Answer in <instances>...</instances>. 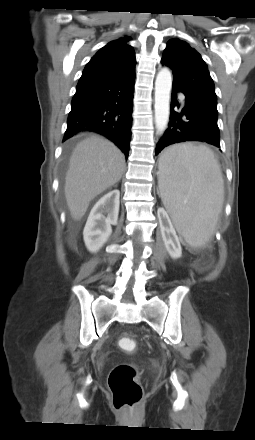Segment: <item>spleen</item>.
Segmentation results:
<instances>
[{"label": "spleen", "mask_w": 255, "mask_h": 440, "mask_svg": "<svg viewBox=\"0 0 255 440\" xmlns=\"http://www.w3.org/2000/svg\"><path fill=\"white\" fill-rule=\"evenodd\" d=\"M159 164L161 199L177 231L192 247L212 238L224 201L220 166L211 149L190 143L164 151Z\"/></svg>", "instance_id": "obj_1"}]
</instances>
